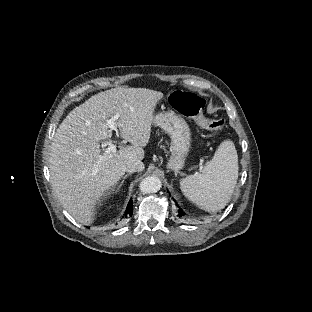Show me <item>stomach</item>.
I'll list each match as a JSON object with an SVG mask.
<instances>
[{
    "label": "stomach",
    "instance_id": "stomach-1",
    "mask_svg": "<svg viewBox=\"0 0 312 312\" xmlns=\"http://www.w3.org/2000/svg\"><path fill=\"white\" fill-rule=\"evenodd\" d=\"M154 124L161 127L171 137L170 150L172 155L167 168L178 171L184 167L185 158L189 152L191 132L184 118L173 111L159 113L154 118Z\"/></svg>",
    "mask_w": 312,
    "mask_h": 312
}]
</instances>
